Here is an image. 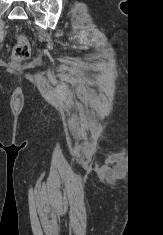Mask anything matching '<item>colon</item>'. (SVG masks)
<instances>
[{
	"mask_svg": "<svg viewBox=\"0 0 163 235\" xmlns=\"http://www.w3.org/2000/svg\"><path fill=\"white\" fill-rule=\"evenodd\" d=\"M17 43L13 50V59L15 62H20L29 57L30 45L26 37L22 34H16Z\"/></svg>",
	"mask_w": 163,
	"mask_h": 235,
	"instance_id": "colon-1",
	"label": "colon"
}]
</instances>
